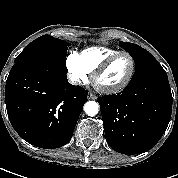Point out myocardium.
<instances>
[{"label": "myocardium", "instance_id": "f54148a6", "mask_svg": "<svg viewBox=\"0 0 178 178\" xmlns=\"http://www.w3.org/2000/svg\"><path fill=\"white\" fill-rule=\"evenodd\" d=\"M122 56H127L129 57L130 61H131V69L130 72L127 76V78L120 83L117 86L111 87V88H103L101 86L98 85L97 80L99 78V76L118 58L122 57ZM135 70H136V61L134 56L127 52V51H120L116 54H113L111 56H109L108 58H106L93 72H92V82L93 85L102 93L104 94H116L122 90H124L132 81L134 74H135Z\"/></svg>", "mask_w": 178, "mask_h": 178}]
</instances>
